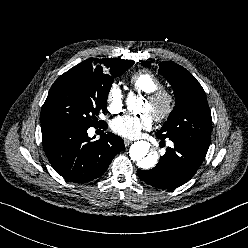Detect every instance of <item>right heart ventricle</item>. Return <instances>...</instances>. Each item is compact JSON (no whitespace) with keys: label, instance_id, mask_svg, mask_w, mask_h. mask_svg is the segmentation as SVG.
Here are the masks:
<instances>
[{"label":"right heart ventricle","instance_id":"obj_1","mask_svg":"<svg viewBox=\"0 0 248 248\" xmlns=\"http://www.w3.org/2000/svg\"><path fill=\"white\" fill-rule=\"evenodd\" d=\"M130 85L139 93L149 94L161 87L159 78L150 71L140 70L129 79Z\"/></svg>","mask_w":248,"mask_h":248}]
</instances>
